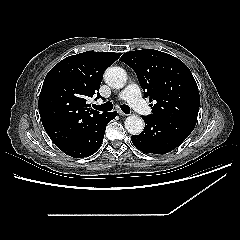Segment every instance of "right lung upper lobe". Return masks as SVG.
Wrapping results in <instances>:
<instances>
[{
  "label": "right lung upper lobe",
  "instance_id": "obj_1",
  "mask_svg": "<svg viewBox=\"0 0 240 240\" xmlns=\"http://www.w3.org/2000/svg\"><path fill=\"white\" fill-rule=\"evenodd\" d=\"M120 55L87 51L63 59L48 72L38 107L43 127L57 147L87 134L105 114L91 109L87 99L99 90L104 71Z\"/></svg>",
  "mask_w": 240,
  "mask_h": 240
}]
</instances>
